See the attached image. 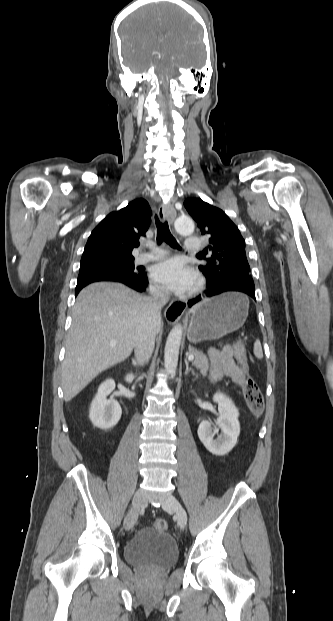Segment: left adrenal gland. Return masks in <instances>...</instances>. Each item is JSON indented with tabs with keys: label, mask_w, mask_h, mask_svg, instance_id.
<instances>
[{
	"label": "left adrenal gland",
	"mask_w": 333,
	"mask_h": 621,
	"mask_svg": "<svg viewBox=\"0 0 333 621\" xmlns=\"http://www.w3.org/2000/svg\"><path fill=\"white\" fill-rule=\"evenodd\" d=\"M185 365H186L185 376H187L190 372L194 376H199L198 373L195 372L193 368L189 367V362L187 360H185Z\"/></svg>",
	"instance_id": "1"
}]
</instances>
